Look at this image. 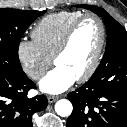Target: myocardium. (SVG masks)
Instances as JSON below:
<instances>
[{
	"label": "myocardium",
	"instance_id": "1",
	"mask_svg": "<svg viewBox=\"0 0 127 127\" xmlns=\"http://www.w3.org/2000/svg\"><path fill=\"white\" fill-rule=\"evenodd\" d=\"M86 19H93L98 23L100 28V41L90 66L81 76L76 78V81L78 82H85L89 78H91V76L97 70L102 58V54L106 43V27L103 20L99 16L93 13H86L82 14L79 18H77L63 35L62 40L59 43L52 57L53 63L56 65V61L67 51L75 31L77 30L79 25Z\"/></svg>",
	"mask_w": 127,
	"mask_h": 127
}]
</instances>
